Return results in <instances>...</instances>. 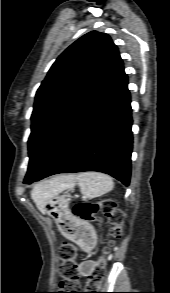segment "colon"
Returning <instances> with one entry per match:
<instances>
[{
    "label": "colon",
    "mask_w": 170,
    "mask_h": 293,
    "mask_svg": "<svg viewBox=\"0 0 170 293\" xmlns=\"http://www.w3.org/2000/svg\"><path fill=\"white\" fill-rule=\"evenodd\" d=\"M101 212L102 216L97 214ZM72 214L75 220L69 216H62L58 219V224L63 234L81 233L82 223H91L94 221L107 220L111 227L108 229V243L112 244L122 237L123 218L117 210L116 203L112 200H104L99 203L80 202L73 206ZM104 253L109 252L108 248H104ZM58 256L61 262L59 273L62 278L61 287L56 292L51 293H92V289L100 285L106 274V258L101 257L89 276L86 287L81 286L78 268H77V250L71 243H63L58 248ZM84 289V290H82ZM84 291V292H80Z\"/></svg>",
    "instance_id": "colon-1"
}]
</instances>
